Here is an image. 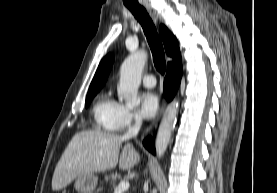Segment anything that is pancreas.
Here are the masks:
<instances>
[{"instance_id":"obj_1","label":"pancreas","mask_w":277,"mask_h":193,"mask_svg":"<svg viewBox=\"0 0 277 193\" xmlns=\"http://www.w3.org/2000/svg\"><path fill=\"white\" fill-rule=\"evenodd\" d=\"M106 181H110V183L115 186V182L117 180H120L122 181V177L120 174H118L117 172L116 173H110L108 174L106 177H105Z\"/></svg>"}]
</instances>
